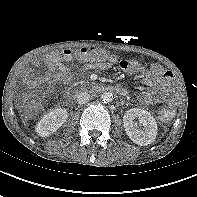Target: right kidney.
Instances as JSON below:
<instances>
[{
    "label": "right kidney",
    "instance_id": "obj_1",
    "mask_svg": "<svg viewBox=\"0 0 197 197\" xmlns=\"http://www.w3.org/2000/svg\"><path fill=\"white\" fill-rule=\"evenodd\" d=\"M66 109L57 108L47 113L37 124L36 131L42 137H47L56 132L66 121Z\"/></svg>",
    "mask_w": 197,
    "mask_h": 197
}]
</instances>
